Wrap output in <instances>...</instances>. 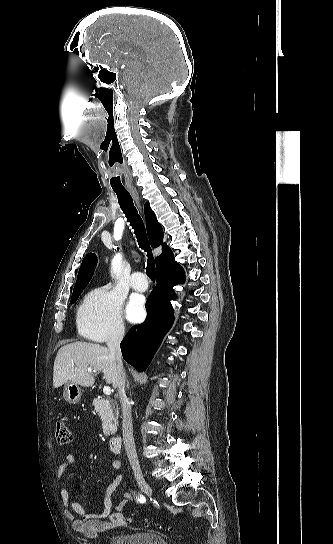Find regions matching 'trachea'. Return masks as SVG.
Returning a JSON list of instances; mask_svg holds the SVG:
<instances>
[{"mask_svg": "<svg viewBox=\"0 0 333 544\" xmlns=\"http://www.w3.org/2000/svg\"><path fill=\"white\" fill-rule=\"evenodd\" d=\"M114 192L116 193L118 197V201H119L121 209L123 210L124 214L127 217V221L130 222V225L135 230L134 233L136 235L140 248L144 249V251L147 252L148 259H147L146 273L148 277L152 281H154L155 280V260L152 255V251L147 239L144 223L141 217L138 215L136 208L134 207L133 200L129 192L127 190H117V189H114Z\"/></svg>", "mask_w": 333, "mask_h": 544, "instance_id": "trachea-1", "label": "trachea"}]
</instances>
